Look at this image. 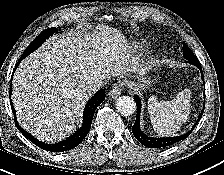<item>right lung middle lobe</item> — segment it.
<instances>
[{
  "label": "right lung middle lobe",
  "instance_id": "dd1d6c3e",
  "mask_svg": "<svg viewBox=\"0 0 224 175\" xmlns=\"http://www.w3.org/2000/svg\"><path fill=\"white\" fill-rule=\"evenodd\" d=\"M57 31V28L53 27L47 30H44L38 37L27 47L25 52L23 54H30L34 50H36L39 46L42 45V43L49 38L54 32ZM22 54V55H23Z\"/></svg>",
  "mask_w": 224,
  "mask_h": 175
}]
</instances>
